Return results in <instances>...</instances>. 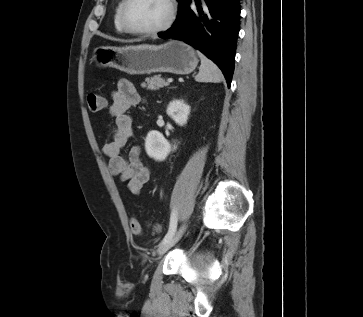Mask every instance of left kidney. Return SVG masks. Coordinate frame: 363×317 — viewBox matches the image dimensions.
I'll return each mask as SVG.
<instances>
[{"instance_id":"5707ae66","label":"left kidney","mask_w":363,"mask_h":317,"mask_svg":"<svg viewBox=\"0 0 363 317\" xmlns=\"http://www.w3.org/2000/svg\"><path fill=\"white\" fill-rule=\"evenodd\" d=\"M166 113L176 124L183 126L187 123L190 107L183 100H173L169 103ZM145 149L149 157L161 161L171 152L172 146L160 132L153 130L147 134Z\"/></svg>"}]
</instances>
